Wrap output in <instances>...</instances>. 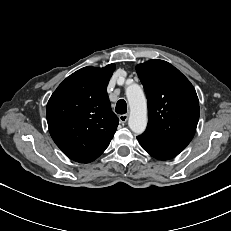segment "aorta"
<instances>
[{
	"mask_svg": "<svg viewBox=\"0 0 231 231\" xmlns=\"http://www.w3.org/2000/svg\"><path fill=\"white\" fill-rule=\"evenodd\" d=\"M126 96L130 107L128 126L135 134H142L147 126V103L143 90L132 83L126 88Z\"/></svg>",
	"mask_w": 231,
	"mask_h": 231,
	"instance_id": "762f6f07",
	"label": "aorta"
}]
</instances>
